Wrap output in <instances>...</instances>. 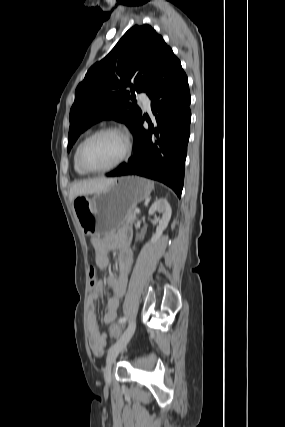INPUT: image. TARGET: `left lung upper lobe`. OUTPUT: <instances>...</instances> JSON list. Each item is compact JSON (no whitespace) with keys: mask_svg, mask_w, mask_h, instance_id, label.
Instances as JSON below:
<instances>
[{"mask_svg":"<svg viewBox=\"0 0 285 427\" xmlns=\"http://www.w3.org/2000/svg\"><path fill=\"white\" fill-rule=\"evenodd\" d=\"M171 51L151 26L130 28L76 88L68 152L82 132L103 119L123 122L133 132L142 112L135 100L130 101L135 92L147 91Z\"/></svg>","mask_w":285,"mask_h":427,"instance_id":"left-lung-upper-lobe-1","label":"left lung upper lobe"}]
</instances>
